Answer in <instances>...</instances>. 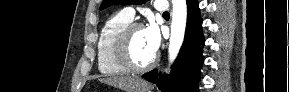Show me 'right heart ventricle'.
<instances>
[{"instance_id": "e07e8e85", "label": "right heart ventricle", "mask_w": 289, "mask_h": 92, "mask_svg": "<svg viewBox=\"0 0 289 92\" xmlns=\"http://www.w3.org/2000/svg\"><path fill=\"white\" fill-rule=\"evenodd\" d=\"M131 22L130 18L120 12L109 17L102 26L97 42V64L103 75L115 76L128 72L115 58L114 44L121 30Z\"/></svg>"}]
</instances>
